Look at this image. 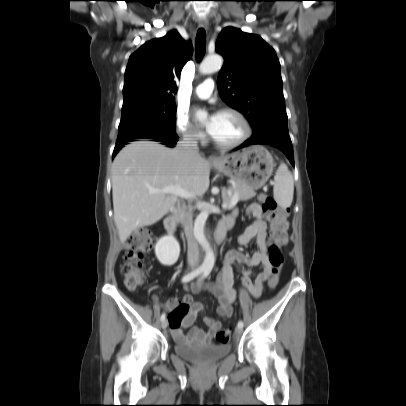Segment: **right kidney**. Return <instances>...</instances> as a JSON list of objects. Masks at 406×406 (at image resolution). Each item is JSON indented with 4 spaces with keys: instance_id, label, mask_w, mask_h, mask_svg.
<instances>
[{
    "instance_id": "ca27d5eb",
    "label": "right kidney",
    "mask_w": 406,
    "mask_h": 406,
    "mask_svg": "<svg viewBox=\"0 0 406 406\" xmlns=\"http://www.w3.org/2000/svg\"><path fill=\"white\" fill-rule=\"evenodd\" d=\"M155 255L158 261L165 265L175 264L180 255V245L172 235H166L160 238L155 245Z\"/></svg>"
}]
</instances>
